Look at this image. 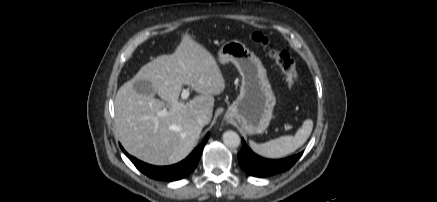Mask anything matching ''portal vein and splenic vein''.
Segmentation results:
<instances>
[{"mask_svg": "<svg viewBox=\"0 0 437 202\" xmlns=\"http://www.w3.org/2000/svg\"><path fill=\"white\" fill-rule=\"evenodd\" d=\"M189 95H190L189 90L188 89H184L182 91L181 98L182 99H187L189 97ZM165 114H166V110L160 111V115H165Z\"/></svg>", "mask_w": 437, "mask_h": 202, "instance_id": "obj_1", "label": "portal vein and splenic vein"}]
</instances>
